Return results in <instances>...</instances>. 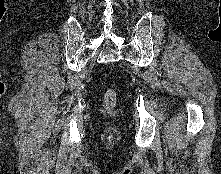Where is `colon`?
Segmentation results:
<instances>
[{
  "instance_id": "5ec220e1",
  "label": "colon",
  "mask_w": 221,
  "mask_h": 174,
  "mask_svg": "<svg viewBox=\"0 0 221 174\" xmlns=\"http://www.w3.org/2000/svg\"><path fill=\"white\" fill-rule=\"evenodd\" d=\"M116 104V93L113 89H108L104 97V105L107 109H112Z\"/></svg>"
}]
</instances>
